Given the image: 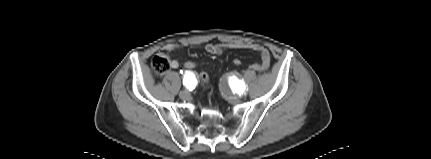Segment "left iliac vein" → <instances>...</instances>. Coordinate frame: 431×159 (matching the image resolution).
<instances>
[{
    "mask_svg": "<svg viewBox=\"0 0 431 159\" xmlns=\"http://www.w3.org/2000/svg\"><path fill=\"white\" fill-rule=\"evenodd\" d=\"M226 96L230 101H238V99H239L237 96H232L228 92H226Z\"/></svg>",
    "mask_w": 431,
    "mask_h": 159,
    "instance_id": "4c4485c4",
    "label": "left iliac vein"
}]
</instances>
